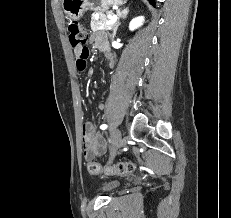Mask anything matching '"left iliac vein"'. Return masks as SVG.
Returning <instances> with one entry per match:
<instances>
[{
  "instance_id": "left-iliac-vein-1",
  "label": "left iliac vein",
  "mask_w": 231,
  "mask_h": 218,
  "mask_svg": "<svg viewBox=\"0 0 231 218\" xmlns=\"http://www.w3.org/2000/svg\"><path fill=\"white\" fill-rule=\"evenodd\" d=\"M124 142L122 140L121 131L119 129H115L112 132V146L110 149V162L117 155L119 149L123 146Z\"/></svg>"
}]
</instances>
